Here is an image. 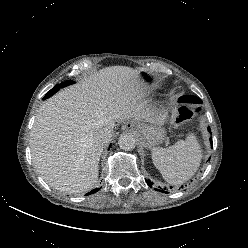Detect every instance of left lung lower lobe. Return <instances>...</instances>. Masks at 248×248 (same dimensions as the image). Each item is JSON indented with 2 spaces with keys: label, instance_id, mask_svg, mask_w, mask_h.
Listing matches in <instances>:
<instances>
[{
  "label": "left lung lower lobe",
  "instance_id": "obj_1",
  "mask_svg": "<svg viewBox=\"0 0 248 248\" xmlns=\"http://www.w3.org/2000/svg\"><path fill=\"white\" fill-rule=\"evenodd\" d=\"M208 130L210 131V128H208ZM211 143H212V141H211ZM146 182H147V184H148L150 187L152 186V183H151L149 180H146ZM170 188H172V186H171ZM182 188H183V186H182ZM155 190L161 191V192H164V193H167V192L165 191L166 188H165L164 190H158V189H155Z\"/></svg>",
  "mask_w": 248,
  "mask_h": 248
}]
</instances>
